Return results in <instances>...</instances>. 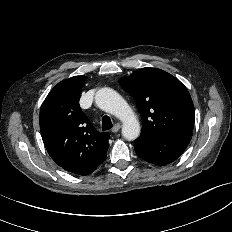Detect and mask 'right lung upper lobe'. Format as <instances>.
<instances>
[{"instance_id":"cb5924a9","label":"right lung upper lobe","mask_w":232,"mask_h":232,"mask_svg":"<svg viewBox=\"0 0 232 232\" xmlns=\"http://www.w3.org/2000/svg\"><path fill=\"white\" fill-rule=\"evenodd\" d=\"M85 76L58 83L40 109L44 145L54 162L68 172L88 175L105 159L109 133L98 132L81 111L79 98Z\"/></svg>"}]
</instances>
